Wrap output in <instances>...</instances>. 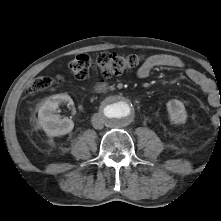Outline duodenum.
<instances>
[{"label": "duodenum", "instance_id": "obj_1", "mask_svg": "<svg viewBox=\"0 0 221 221\" xmlns=\"http://www.w3.org/2000/svg\"><path fill=\"white\" fill-rule=\"evenodd\" d=\"M106 89V85L104 83H98L94 86V90L97 92H103Z\"/></svg>", "mask_w": 221, "mask_h": 221}]
</instances>
